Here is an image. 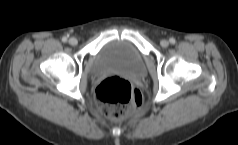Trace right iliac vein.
<instances>
[{
    "mask_svg": "<svg viewBox=\"0 0 238 145\" xmlns=\"http://www.w3.org/2000/svg\"><path fill=\"white\" fill-rule=\"evenodd\" d=\"M77 43H78V40L76 38L72 37L69 39L70 45L75 46V45H77Z\"/></svg>",
    "mask_w": 238,
    "mask_h": 145,
    "instance_id": "1",
    "label": "right iliac vein"
}]
</instances>
